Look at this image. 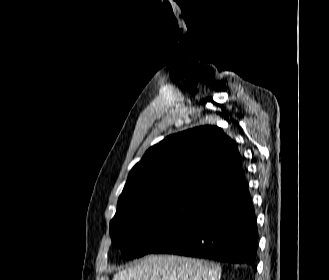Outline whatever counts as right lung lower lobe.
<instances>
[{"label": "right lung lower lobe", "instance_id": "1", "mask_svg": "<svg viewBox=\"0 0 329 280\" xmlns=\"http://www.w3.org/2000/svg\"><path fill=\"white\" fill-rule=\"evenodd\" d=\"M257 243L254 207L241 169L215 184L179 227L149 254L254 265Z\"/></svg>", "mask_w": 329, "mask_h": 280}]
</instances>
